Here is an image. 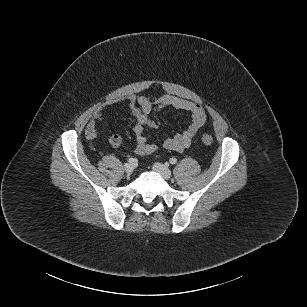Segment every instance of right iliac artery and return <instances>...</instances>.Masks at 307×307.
<instances>
[{
    "instance_id": "1",
    "label": "right iliac artery",
    "mask_w": 307,
    "mask_h": 307,
    "mask_svg": "<svg viewBox=\"0 0 307 307\" xmlns=\"http://www.w3.org/2000/svg\"><path fill=\"white\" fill-rule=\"evenodd\" d=\"M128 162L130 163V164H137V162H138V160L136 159V158H129L128 159Z\"/></svg>"
}]
</instances>
